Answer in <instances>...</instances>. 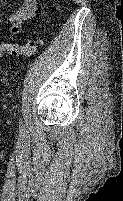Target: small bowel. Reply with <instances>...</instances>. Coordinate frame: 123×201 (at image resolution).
Masks as SVG:
<instances>
[{"label": "small bowel", "mask_w": 123, "mask_h": 201, "mask_svg": "<svg viewBox=\"0 0 123 201\" xmlns=\"http://www.w3.org/2000/svg\"><path fill=\"white\" fill-rule=\"evenodd\" d=\"M20 5L17 10L10 13L7 17L8 30L12 34H18L21 31L22 23L35 16L36 0H19Z\"/></svg>", "instance_id": "1"}]
</instances>
